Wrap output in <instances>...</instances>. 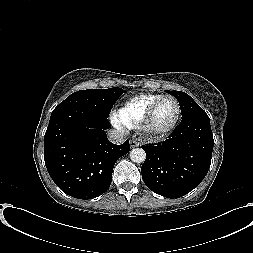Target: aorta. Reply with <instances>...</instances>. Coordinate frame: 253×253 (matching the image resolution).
I'll return each instance as SVG.
<instances>
[{
	"label": "aorta",
	"instance_id": "obj_1",
	"mask_svg": "<svg viewBox=\"0 0 253 253\" xmlns=\"http://www.w3.org/2000/svg\"><path fill=\"white\" fill-rule=\"evenodd\" d=\"M130 159L135 163H142L146 159V153L141 148H134L130 151Z\"/></svg>",
	"mask_w": 253,
	"mask_h": 253
}]
</instances>
